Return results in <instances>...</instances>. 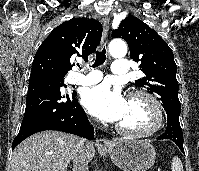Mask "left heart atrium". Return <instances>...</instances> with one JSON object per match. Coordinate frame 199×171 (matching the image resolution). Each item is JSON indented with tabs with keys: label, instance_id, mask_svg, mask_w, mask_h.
Segmentation results:
<instances>
[{
	"label": "left heart atrium",
	"instance_id": "1",
	"mask_svg": "<svg viewBox=\"0 0 199 171\" xmlns=\"http://www.w3.org/2000/svg\"><path fill=\"white\" fill-rule=\"evenodd\" d=\"M81 100L90 114L111 123L118 122L122 118L127 106L121 91L108 83L85 89Z\"/></svg>",
	"mask_w": 199,
	"mask_h": 171
}]
</instances>
